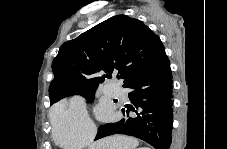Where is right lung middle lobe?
I'll return each mask as SVG.
<instances>
[{
	"instance_id": "right-lung-middle-lobe-1",
	"label": "right lung middle lobe",
	"mask_w": 227,
	"mask_h": 149,
	"mask_svg": "<svg viewBox=\"0 0 227 149\" xmlns=\"http://www.w3.org/2000/svg\"><path fill=\"white\" fill-rule=\"evenodd\" d=\"M94 95H95V89L89 91L88 93H86L85 95H83L84 97H86V99L92 101L94 99ZM52 104V103H51Z\"/></svg>"
}]
</instances>
